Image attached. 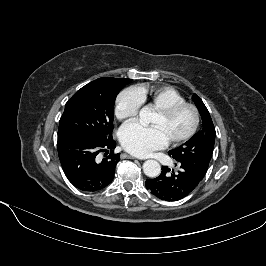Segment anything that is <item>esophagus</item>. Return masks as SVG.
Returning a JSON list of instances; mask_svg holds the SVG:
<instances>
[{"label":"esophagus","instance_id":"esophagus-1","mask_svg":"<svg viewBox=\"0 0 266 266\" xmlns=\"http://www.w3.org/2000/svg\"><path fill=\"white\" fill-rule=\"evenodd\" d=\"M123 158H128V159H136V157L129 155V154H123L122 155Z\"/></svg>","mask_w":266,"mask_h":266}]
</instances>
